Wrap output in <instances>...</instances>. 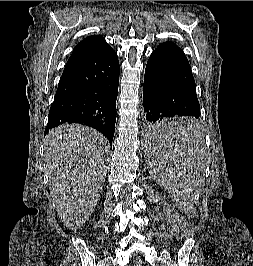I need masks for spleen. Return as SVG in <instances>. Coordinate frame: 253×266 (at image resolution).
I'll use <instances>...</instances> for the list:
<instances>
[{
    "label": "spleen",
    "mask_w": 253,
    "mask_h": 266,
    "mask_svg": "<svg viewBox=\"0 0 253 266\" xmlns=\"http://www.w3.org/2000/svg\"><path fill=\"white\" fill-rule=\"evenodd\" d=\"M198 129L192 117H160L159 123H146L148 138L142 151L149 168L172 191L171 203L182 204L185 210L191 208L202 180L198 153L203 142L197 141Z\"/></svg>",
    "instance_id": "spleen-1"
}]
</instances>
